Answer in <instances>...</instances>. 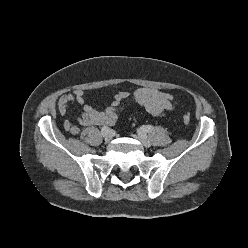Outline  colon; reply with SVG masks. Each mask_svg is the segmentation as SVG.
<instances>
[{
    "label": "colon",
    "mask_w": 248,
    "mask_h": 248,
    "mask_svg": "<svg viewBox=\"0 0 248 248\" xmlns=\"http://www.w3.org/2000/svg\"><path fill=\"white\" fill-rule=\"evenodd\" d=\"M183 121H184L185 124H189L190 123V116H189L188 113H185L183 115Z\"/></svg>",
    "instance_id": "obj_1"
}]
</instances>
